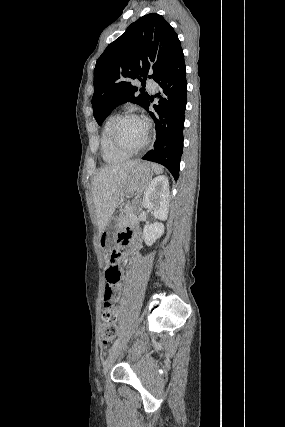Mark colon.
I'll return each mask as SVG.
<instances>
[{
	"label": "colon",
	"instance_id": "obj_1",
	"mask_svg": "<svg viewBox=\"0 0 285 427\" xmlns=\"http://www.w3.org/2000/svg\"><path fill=\"white\" fill-rule=\"evenodd\" d=\"M120 253L113 250L108 256V265L105 268L106 295L110 296L112 287L117 286L121 280V269L117 265ZM117 310L113 301L107 299L103 303V325L101 327V340L103 343L110 342L116 334Z\"/></svg>",
	"mask_w": 285,
	"mask_h": 427
}]
</instances>
